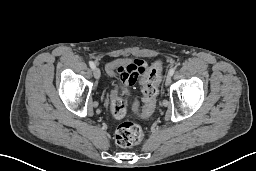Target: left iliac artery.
<instances>
[{"label": "left iliac artery", "mask_w": 256, "mask_h": 171, "mask_svg": "<svg viewBox=\"0 0 256 171\" xmlns=\"http://www.w3.org/2000/svg\"><path fill=\"white\" fill-rule=\"evenodd\" d=\"M174 72H175V69H174V68H171V69L169 70L168 74H169L170 76H172V75L174 74Z\"/></svg>", "instance_id": "1"}]
</instances>
